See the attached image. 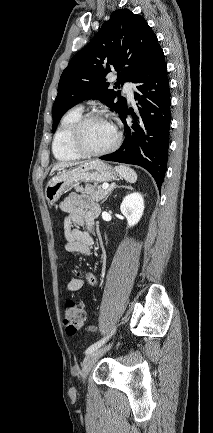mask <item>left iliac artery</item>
I'll return each mask as SVG.
<instances>
[{"mask_svg":"<svg viewBox=\"0 0 213 433\" xmlns=\"http://www.w3.org/2000/svg\"><path fill=\"white\" fill-rule=\"evenodd\" d=\"M115 331H116V328H114L111 331V333L109 335H107L105 338H103V339L97 341L96 343L92 344L91 346H89L87 348V350L85 351V353L89 354V353L95 351L96 349H98L102 344H104L109 339V337H111L114 334Z\"/></svg>","mask_w":213,"mask_h":433,"instance_id":"left-iliac-artery-1","label":"left iliac artery"}]
</instances>
